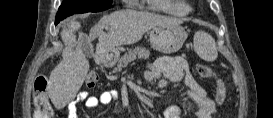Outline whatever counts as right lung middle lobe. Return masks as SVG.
Instances as JSON below:
<instances>
[{
  "instance_id": "right-lung-middle-lobe-1",
  "label": "right lung middle lobe",
  "mask_w": 273,
  "mask_h": 118,
  "mask_svg": "<svg viewBox=\"0 0 273 118\" xmlns=\"http://www.w3.org/2000/svg\"><path fill=\"white\" fill-rule=\"evenodd\" d=\"M112 2L113 0H64L57 15L67 17L86 12H100L109 9Z\"/></svg>"
}]
</instances>
